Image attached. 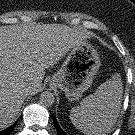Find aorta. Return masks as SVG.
Returning <instances> with one entry per match:
<instances>
[{
	"instance_id": "obj_1",
	"label": "aorta",
	"mask_w": 135,
	"mask_h": 135,
	"mask_svg": "<svg viewBox=\"0 0 135 135\" xmlns=\"http://www.w3.org/2000/svg\"><path fill=\"white\" fill-rule=\"evenodd\" d=\"M39 101L41 105L49 107L55 102L54 94L49 91L42 92L40 94Z\"/></svg>"
}]
</instances>
